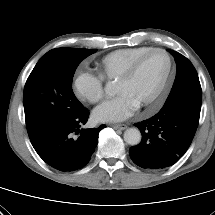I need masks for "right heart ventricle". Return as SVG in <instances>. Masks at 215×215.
Masks as SVG:
<instances>
[{"label":"right heart ventricle","mask_w":215,"mask_h":215,"mask_svg":"<svg viewBox=\"0 0 215 215\" xmlns=\"http://www.w3.org/2000/svg\"><path fill=\"white\" fill-rule=\"evenodd\" d=\"M150 49V47L123 48L104 55L98 62L101 76L117 80L134 59Z\"/></svg>","instance_id":"1"}]
</instances>
